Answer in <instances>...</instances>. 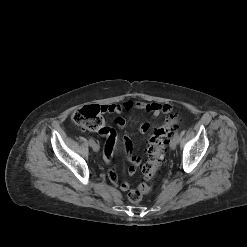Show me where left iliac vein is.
I'll return each mask as SVG.
<instances>
[{"instance_id":"left-iliac-vein-1","label":"left iliac vein","mask_w":247,"mask_h":247,"mask_svg":"<svg viewBox=\"0 0 247 247\" xmlns=\"http://www.w3.org/2000/svg\"><path fill=\"white\" fill-rule=\"evenodd\" d=\"M177 143H178L177 139L173 136V138L170 141V148L174 150L177 146Z\"/></svg>"}]
</instances>
